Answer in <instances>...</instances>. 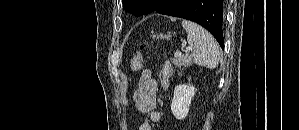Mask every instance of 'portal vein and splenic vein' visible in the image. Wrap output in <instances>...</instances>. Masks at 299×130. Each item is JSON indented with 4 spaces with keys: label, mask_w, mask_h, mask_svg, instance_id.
<instances>
[{
    "label": "portal vein and splenic vein",
    "mask_w": 299,
    "mask_h": 130,
    "mask_svg": "<svg viewBox=\"0 0 299 130\" xmlns=\"http://www.w3.org/2000/svg\"><path fill=\"white\" fill-rule=\"evenodd\" d=\"M186 52H190V51H192V48H190V47H187L186 48V50H185ZM182 55V53L180 52V51H177L176 53H175V56H181Z\"/></svg>",
    "instance_id": "portal-vein-and-splenic-vein-1"
}]
</instances>
